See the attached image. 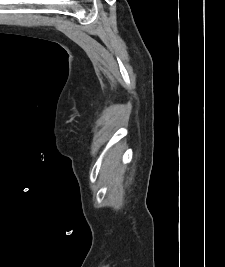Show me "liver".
Instances as JSON below:
<instances>
[{"label": "liver", "mask_w": 225, "mask_h": 267, "mask_svg": "<svg viewBox=\"0 0 225 267\" xmlns=\"http://www.w3.org/2000/svg\"><path fill=\"white\" fill-rule=\"evenodd\" d=\"M123 151V146H116L107 156L103 169L105 171V180L112 182L118 181L124 174V169H119L118 164Z\"/></svg>", "instance_id": "6515ba94"}]
</instances>
